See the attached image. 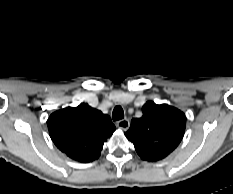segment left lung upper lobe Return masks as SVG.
I'll return each instance as SVG.
<instances>
[{
    "label": "left lung upper lobe",
    "mask_w": 233,
    "mask_h": 194,
    "mask_svg": "<svg viewBox=\"0 0 233 194\" xmlns=\"http://www.w3.org/2000/svg\"><path fill=\"white\" fill-rule=\"evenodd\" d=\"M143 116L132 119L125 136L134 144L138 155L147 161H158L169 155L180 143L186 117L180 110L152 101L142 107Z\"/></svg>",
    "instance_id": "obj_1"
}]
</instances>
